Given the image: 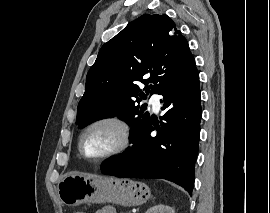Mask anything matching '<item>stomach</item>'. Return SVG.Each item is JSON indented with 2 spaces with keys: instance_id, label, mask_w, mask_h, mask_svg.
<instances>
[{
  "instance_id": "0dacf381",
  "label": "stomach",
  "mask_w": 270,
  "mask_h": 213,
  "mask_svg": "<svg viewBox=\"0 0 270 213\" xmlns=\"http://www.w3.org/2000/svg\"><path fill=\"white\" fill-rule=\"evenodd\" d=\"M57 190L60 201L67 206L106 202L137 206L151 197L149 187L142 182L79 172L65 174L58 182Z\"/></svg>"
}]
</instances>
